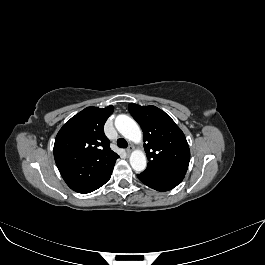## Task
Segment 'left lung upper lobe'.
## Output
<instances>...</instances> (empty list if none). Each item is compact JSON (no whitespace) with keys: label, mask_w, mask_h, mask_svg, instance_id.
<instances>
[{"label":"left lung upper lobe","mask_w":265,"mask_h":265,"mask_svg":"<svg viewBox=\"0 0 265 265\" xmlns=\"http://www.w3.org/2000/svg\"><path fill=\"white\" fill-rule=\"evenodd\" d=\"M128 108L143 131L144 149L149 160L145 171L185 176L190 150L182 130L155 106L130 103Z\"/></svg>","instance_id":"obj_1"}]
</instances>
